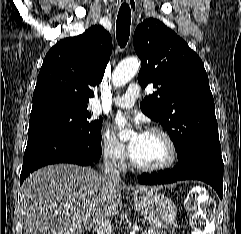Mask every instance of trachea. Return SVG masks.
<instances>
[{"mask_svg": "<svg viewBox=\"0 0 241 234\" xmlns=\"http://www.w3.org/2000/svg\"><path fill=\"white\" fill-rule=\"evenodd\" d=\"M131 25V9L128 4L123 3L119 9L116 21V37L121 48L125 47L129 35Z\"/></svg>", "mask_w": 241, "mask_h": 234, "instance_id": "obj_1", "label": "trachea"}]
</instances>
